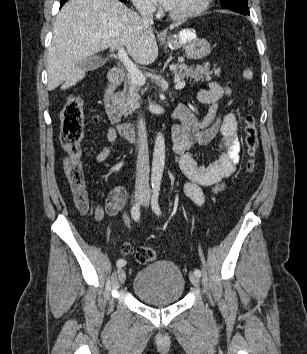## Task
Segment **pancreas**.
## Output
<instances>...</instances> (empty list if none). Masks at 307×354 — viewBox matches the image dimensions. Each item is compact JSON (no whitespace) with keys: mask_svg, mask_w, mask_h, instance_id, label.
I'll return each mask as SVG.
<instances>
[{"mask_svg":"<svg viewBox=\"0 0 307 354\" xmlns=\"http://www.w3.org/2000/svg\"><path fill=\"white\" fill-rule=\"evenodd\" d=\"M173 73L175 75V79H179L180 81L189 79L193 82H199L204 80L210 81L212 75L220 76L221 70L220 68H213V70H210V67L207 64L196 66L180 64L173 70ZM139 91L140 87H138L137 84H135L131 78L127 76L124 83V90L120 93L122 108L127 114H131L140 106Z\"/></svg>","mask_w":307,"mask_h":354,"instance_id":"pancreas-1","label":"pancreas"}]
</instances>
